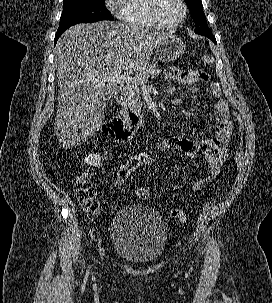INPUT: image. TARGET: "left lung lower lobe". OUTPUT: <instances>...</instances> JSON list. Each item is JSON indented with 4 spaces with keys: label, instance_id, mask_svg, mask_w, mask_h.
<instances>
[{
    "label": "left lung lower lobe",
    "instance_id": "0a47b994",
    "mask_svg": "<svg viewBox=\"0 0 272 303\" xmlns=\"http://www.w3.org/2000/svg\"><path fill=\"white\" fill-rule=\"evenodd\" d=\"M204 36V35H203ZM205 37H208L210 40H212L215 44H216V39H215V37H214V35L212 34V35H207V36H205Z\"/></svg>",
    "mask_w": 272,
    "mask_h": 303
}]
</instances>
